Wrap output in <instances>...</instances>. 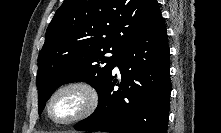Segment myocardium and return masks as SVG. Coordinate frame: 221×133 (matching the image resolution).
Listing matches in <instances>:
<instances>
[{"mask_svg":"<svg viewBox=\"0 0 221 133\" xmlns=\"http://www.w3.org/2000/svg\"><path fill=\"white\" fill-rule=\"evenodd\" d=\"M66 92L79 94L82 99V104L71 116L57 120L51 115V107L57 97ZM99 98V92L92 83L81 79L70 80L56 87L50 94L45 104V115L47 119L55 125H70L91 116L98 107Z\"/></svg>","mask_w":221,"mask_h":133,"instance_id":"myocardium-1","label":"myocardium"}]
</instances>
